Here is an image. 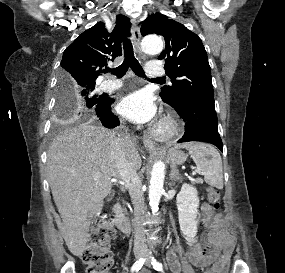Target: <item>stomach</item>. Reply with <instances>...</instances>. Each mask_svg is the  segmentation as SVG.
I'll use <instances>...</instances> for the list:
<instances>
[{"label":"stomach","mask_w":285,"mask_h":273,"mask_svg":"<svg viewBox=\"0 0 285 273\" xmlns=\"http://www.w3.org/2000/svg\"><path fill=\"white\" fill-rule=\"evenodd\" d=\"M167 159L172 164H183L186 161V155L178 148H170L167 151Z\"/></svg>","instance_id":"stomach-1"}]
</instances>
